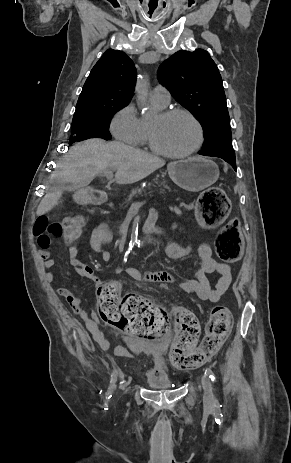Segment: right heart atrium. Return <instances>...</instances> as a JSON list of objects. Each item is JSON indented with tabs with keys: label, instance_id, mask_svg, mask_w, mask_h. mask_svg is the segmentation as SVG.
<instances>
[{
	"label": "right heart atrium",
	"instance_id": "1",
	"mask_svg": "<svg viewBox=\"0 0 291 463\" xmlns=\"http://www.w3.org/2000/svg\"><path fill=\"white\" fill-rule=\"evenodd\" d=\"M110 130L113 136L126 144L138 145L142 136V121L133 104L119 109L111 119Z\"/></svg>",
	"mask_w": 291,
	"mask_h": 463
}]
</instances>
